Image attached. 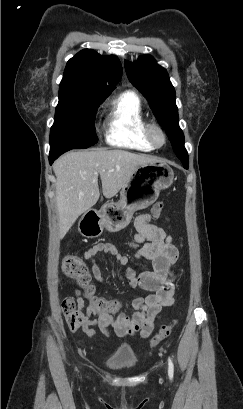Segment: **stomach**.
<instances>
[{"instance_id": "stomach-1", "label": "stomach", "mask_w": 243, "mask_h": 409, "mask_svg": "<svg viewBox=\"0 0 243 409\" xmlns=\"http://www.w3.org/2000/svg\"><path fill=\"white\" fill-rule=\"evenodd\" d=\"M174 181L172 168L161 161L141 165L129 178L120 192L117 203H107L98 212L87 211L79 223V232L86 237H98L104 228L118 232L128 226L133 213L145 209L159 197L161 190ZM90 214L89 221L85 217Z\"/></svg>"}]
</instances>
